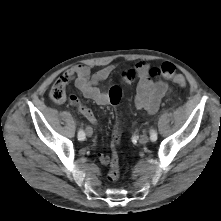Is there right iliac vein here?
I'll return each mask as SVG.
<instances>
[{
  "label": "right iliac vein",
  "instance_id": "1",
  "mask_svg": "<svg viewBox=\"0 0 221 221\" xmlns=\"http://www.w3.org/2000/svg\"><path fill=\"white\" fill-rule=\"evenodd\" d=\"M86 135L88 136V137H91L92 135H93V130H92V128L91 127H86Z\"/></svg>",
  "mask_w": 221,
  "mask_h": 221
}]
</instances>
